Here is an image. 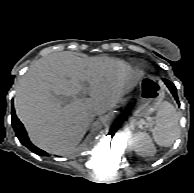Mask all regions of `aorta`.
Masks as SVG:
<instances>
[{"instance_id": "obj_1", "label": "aorta", "mask_w": 194, "mask_h": 193, "mask_svg": "<svg viewBox=\"0 0 194 193\" xmlns=\"http://www.w3.org/2000/svg\"><path fill=\"white\" fill-rule=\"evenodd\" d=\"M119 121L121 123V118H120L119 114H117V113H111L108 116V122L111 124H117Z\"/></svg>"}]
</instances>
